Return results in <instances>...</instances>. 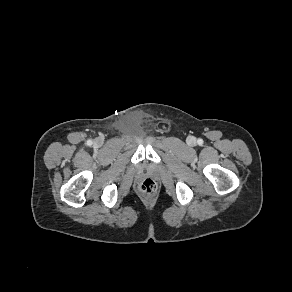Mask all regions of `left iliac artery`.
<instances>
[{
	"label": "left iliac artery",
	"instance_id": "44dca946",
	"mask_svg": "<svg viewBox=\"0 0 292 292\" xmlns=\"http://www.w3.org/2000/svg\"><path fill=\"white\" fill-rule=\"evenodd\" d=\"M202 142H203L202 139L198 140V144H202Z\"/></svg>",
	"mask_w": 292,
	"mask_h": 292
}]
</instances>
